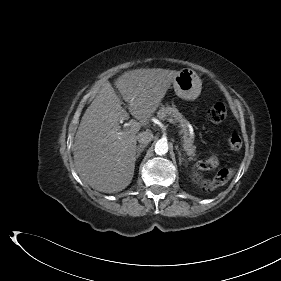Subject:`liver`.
<instances>
[{"label": "liver", "mask_w": 281, "mask_h": 281, "mask_svg": "<svg viewBox=\"0 0 281 281\" xmlns=\"http://www.w3.org/2000/svg\"><path fill=\"white\" fill-rule=\"evenodd\" d=\"M178 74L162 68L135 69L117 79L116 87L141 126L148 123ZM128 118L114 88L106 83L81 119L73 144L74 164L93 189L119 192L132 181L138 131H121L120 122Z\"/></svg>", "instance_id": "6515ba94"}]
</instances>
